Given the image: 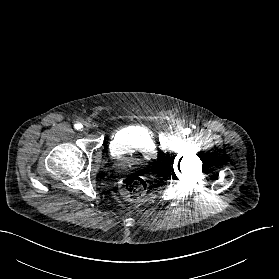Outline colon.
I'll return each mask as SVG.
<instances>
[{
	"instance_id": "1",
	"label": "colon",
	"mask_w": 279,
	"mask_h": 279,
	"mask_svg": "<svg viewBox=\"0 0 279 279\" xmlns=\"http://www.w3.org/2000/svg\"><path fill=\"white\" fill-rule=\"evenodd\" d=\"M119 190L125 199L129 201H136L145 195L147 183L140 176L130 175L123 178L119 182Z\"/></svg>"
}]
</instances>
